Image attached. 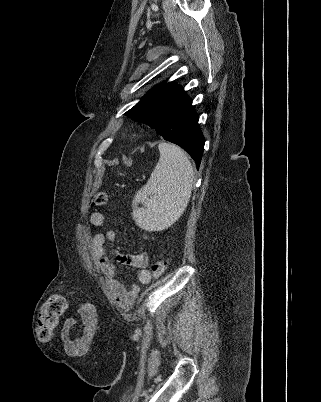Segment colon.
I'll list each match as a JSON object with an SVG mask.
<instances>
[{
	"label": "colon",
	"instance_id": "colon-1",
	"mask_svg": "<svg viewBox=\"0 0 321 402\" xmlns=\"http://www.w3.org/2000/svg\"><path fill=\"white\" fill-rule=\"evenodd\" d=\"M107 193L99 192L92 199V206L99 207L106 204ZM167 263L164 259H159L151 264L150 271L154 278L163 276ZM67 309V301L60 294L51 295L45 302L40 317L38 319L36 332L40 340L51 339L58 320Z\"/></svg>",
	"mask_w": 321,
	"mask_h": 402
}]
</instances>
